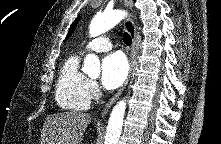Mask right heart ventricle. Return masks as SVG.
I'll return each mask as SVG.
<instances>
[{
  "mask_svg": "<svg viewBox=\"0 0 221 144\" xmlns=\"http://www.w3.org/2000/svg\"><path fill=\"white\" fill-rule=\"evenodd\" d=\"M80 58L70 56L62 65L55 89L57 104L65 110L81 111L88 108L87 94L89 79L79 68Z\"/></svg>",
  "mask_w": 221,
  "mask_h": 144,
  "instance_id": "obj_1",
  "label": "right heart ventricle"
}]
</instances>
